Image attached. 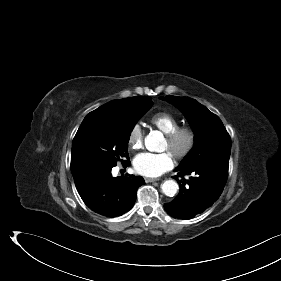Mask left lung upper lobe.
I'll list each match as a JSON object with an SVG mask.
<instances>
[{
	"instance_id": "left-lung-upper-lobe-1",
	"label": "left lung upper lobe",
	"mask_w": 281,
	"mask_h": 281,
	"mask_svg": "<svg viewBox=\"0 0 281 281\" xmlns=\"http://www.w3.org/2000/svg\"><path fill=\"white\" fill-rule=\"evenodd\" d=\"M165 100L180 108L195 133V145L180 164L181 167L205 162L229 163L231 139L217 115L189 97L168 95Z\"/></svg>"
}]
</instances>
